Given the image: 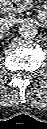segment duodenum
Segmentation results:
<instances>
[{
	"label": "duodenum",
	"instance_id": "duodenum-1",
	"mask_svg": "<svg viewBox=\"0 0 47 129\" xmlns=\"http://www.w3.org/2000/svg\"><path fill=\"white\" fill-rule=\"evenodd\" d=\"M17 7L16 3L12 0H3L2 2V12L5 14H10Z\"/></svg>",
	"mask_w": 47,
	"mask_h": 129
}]
</instances>
